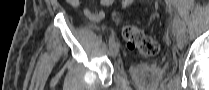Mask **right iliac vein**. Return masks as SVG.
<instances>
[{"label": "right iliac vein", "mask_w": 209, "mask_h": 90, "mask_svg": "<svg viewBox=\"0 0 209 90\" xmlns=\"http://www.w3.org/2000/svg\"><path fill=\"white\" fill-rule=\"evenodd\" d=\"M119 52V44L118 42H114L109 49V54L111 57H116Z\"/></svg>", "instance_id": "63e3f726"}]
</instances>
